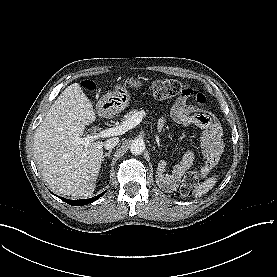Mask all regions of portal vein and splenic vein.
Instances as JSON below:
<instances>
[{"mask_svg": "<svg viewBox=\"0 0 277 277\" xmlns=\"http://www.w3.org/2000/svg\"><path fill=\"white\" fill-rule=\"evenodd\" d=\"M144 116H145V112L139 111L135 113L132 117H130L128 120L122 122L120 125H117L113 128L102 130L98 133H95L94 135H89L84 138L76 137L75 141L80 144H88L89 142L100 138L122 135L128 130L136 127L142 121Z\"/></svg>", "mask_w": 277, "mask_h": 277, "instance_id": "portal-vein-and-splenic-vein-1", "label": "portal vein and splenic vein"}]
</instances>
